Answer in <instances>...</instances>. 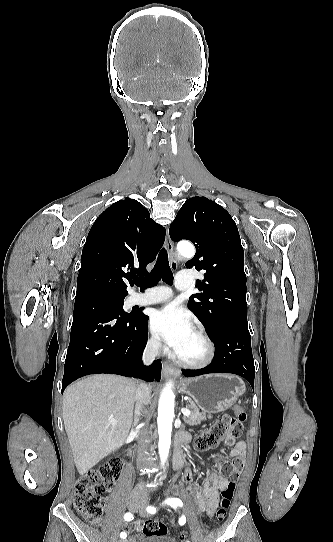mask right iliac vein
Instances as JSON below:
<instances>
[{
	"mask_svg": "<svg viewBox=\"0 0 333 542\" xmlns=\"http://www.w3.org/2000/svg\"><path fill=\"white\" fill-rule=\"evenodd\" d=\"M129 499H130V502L128 503V508L129 510L134 512L139 508L140 496L138 493H134L129 497ZM122 542H128V540H123Z\"/></svg>",
	"mask_w": 333,
	"mask_h": 542,
	"instance_id": "1",
	"label": "right iliac vein"
}]
</instances>
